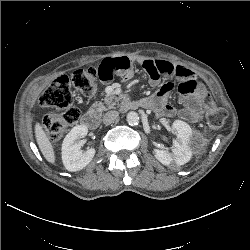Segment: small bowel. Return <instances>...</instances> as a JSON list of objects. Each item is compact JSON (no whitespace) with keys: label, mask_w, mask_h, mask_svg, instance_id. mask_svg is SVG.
Returning a JSON list of instances; mask_svg holds the SVG:
<instances>
[{"label":"small bowel","mask_w":250,"mask_h":250,"mask_svg":"<svg viewBox=\"0 0 250 250\" xmlns=\"http://www.w3.org/2000/svg\"><path fill=\"white\" fill-rule=\"evenodd\" d=\"M141 65L150 76V83L156 87L161 77H173L179 81V94L183 101V108L176 110L168 103V95L173 89L171 83L163 84L151 97L139 101L143 107L156 110L160 115L173 116L178 114L182 119L196 123L200 120L205 93L203 85L197 80L195 73L182 65H176L165 60H143ZM99 79L110 82L115 76L128 81L133 76V62L125 56L104 59L97 68Z\"/></svg>","instance_id":"obj_1"}]
</instances>
